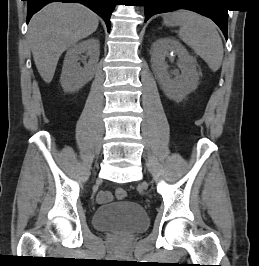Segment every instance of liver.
Returning a JSON list of instances; mask_svg holds the SVG:
<instances>
[{"label":"liver","mask_w":259,"mask_h":266,"mask_svg":"<svg viewBox=\"0 0 259 266\" xmlns=\"http://www.w3.org/2000/svg\"><path fill=\"white\" fill-rule=\"evenodd\" d=\"M99 18L77 3H50L29 23L28 39L36 68L46 83L53 79L62 53L94 33Z\"/></svg>","instance_id":"liver-1"}]
</instances>
